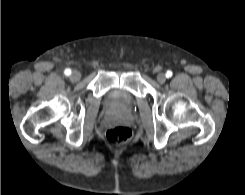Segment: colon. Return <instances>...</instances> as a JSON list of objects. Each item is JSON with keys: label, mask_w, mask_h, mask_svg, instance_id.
<instances>
[{"label": "colon", "mask_w": 245, "mask_h": 195, "mask_svg": "<svg viewBox=\"0 0 245 195\" xmlns=\"http://www.w3.org/2000/svg\"><path fill=\"white\" fill-rule=\"evenodd\" d=\"M106 138L115 145H123L128 143L132 138V131L125 126H117L106 132Z\"/></svg>", "instance_id": "colon-1"}]
</instances>
